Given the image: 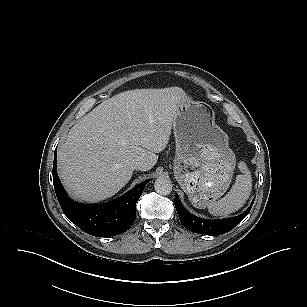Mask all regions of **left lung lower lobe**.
<instances>
[{"label":"left lung lower lobe","instance_id":"obj_1","mask_svg":"<svg viewBox=\"0 0 307 307\" xmlns=\"http://www.w3.org/2000/svg\"><path fill=\"white\" fill-rule=\"evenodd\" d=\"M254 200L243 214L218 220H206L192 215L183 207L177 194L175 195V207L181 223L191 232L205 235H221L232 230L249 214Z\"/></svg>","mask_w":307,"mask_h":307}]
</instances>
